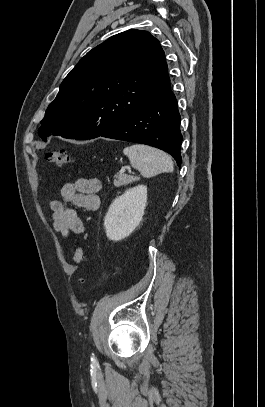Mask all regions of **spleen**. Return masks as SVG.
I'll list each match as a JSON object with an SVG mask.
<instances>
[{
  "label": "spleen",
  "mask_w": 265,
  "mask_h": 407,
  "mask_svg": "<svg viewBox=\"0 0 265 407\" xmlns=\"http://www.w3.org/2000/svg\"><path fill=\"white\" fill-rule=\"evenodd\" d=\"M133 168L140 171L143 177H152L164 172H173L174 166L171 157L164 151L154 147L134 144L123 150Z\"/></svg>",
  "instance_id": "obj_1"
}]
</instances>
